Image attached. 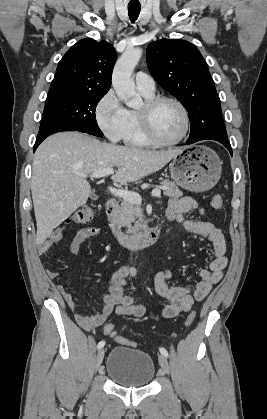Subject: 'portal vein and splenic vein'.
I'll use <instances>...</instances> for the list:
<instances>
[{
    "label": "portal vein and splenic vein",
    "instance_id": "18ae733b",
    "mask_svg": "<svg viewBox=\"0 0 267 419\" xmlns=\"http://www.w3.org/2000/svg\"><path fill=\"white\" fill-rule=\"evenodd\" d=\"M114 174V169L113 168H105V169H101L98 171H95L93 174L89 175L91 178H102L105 177L107 175H113ZM81 177H88L87 174H79ZM109 191L117 197H120L124 200H127L131 203L140 205L142 202L141 196L138 193L132 192V191H128V190H123V189H116V188H112V187H108ZM152 196L155 197H160L161 196V190L159 188H155L154 190H152L151 192Z\"/></svg>",
    "mask_w": 267,
    "mask_h": 419
}]
</instances>
